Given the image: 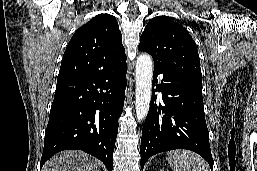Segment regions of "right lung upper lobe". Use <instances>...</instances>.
<instances>
[{
	"mask_svg": "<svg viewBox=\"0 0 257 171\" xmlns=\"http://www.w3.org/2000/svg\"><path fill=\"white\" fill-rule=\"evenodd\" d=\"M116 18L99 14L81 26L69 41L57 81L82 78L126 62Z\"/></svg>",
	"mask_w": 257,
	"mask_h": 171,
	"instance_id": "cb5924a9",
	"label": "right lung upper lobe"
}]
</instances>
